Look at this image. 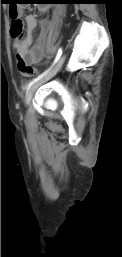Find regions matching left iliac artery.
Masks as SVG:
<instances>
[{"label":"left iliac artery","mask_w":122,"mask_h":257,"mask_svg":"<svg viewBox=\"0 0 122 257\" xmlns=\"http://www.w3.org/2000/svg\"><path fill=\"white\" fill-rule=\"evenodd\" d=\"M61 55H62V48L60 47L59 49H58V52H57V54H56V58H55V60H54V62H53V64H52V66L48 69V70H46L44 73H42L41 75H39L37 78H35V79H33L30 83H29V87L32 85V84H34L36 81H38L41 77H43L46 73H48V71L56 64V62L59 60V58L61 57Z\"/></svg>","instance_id":"1"}]
</instances>
